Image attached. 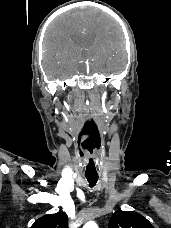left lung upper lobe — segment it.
I'll use <instances>...</instances> for the list:
<instances>
[{
	"mask_svg": "<svg viewBox=\"0 0 171 228\" xmlns=\"http://www.w3.org/2000/svg\"><path fill=\"white\" fill-rule=\"evenodd\" d=\"M109 228H154L142 215L133 211H118L109 221Z\"/></svg>",
	"mask_w": 171,
	"mask_h": 228,
	"instance_id": "1",
	"label": "left lung upper lobe"
}]
</instances>
